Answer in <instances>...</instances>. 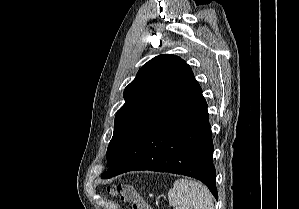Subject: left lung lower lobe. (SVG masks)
Returning a JSON list of instances; mask_svg holds the SVG:
<instances>
[{
	"mask_svg": "<svg viewBox=\"0 0 299 209\" xmlns=\"http://www.w3.org/2000/svg\"><path fill=\"white\" fill-rule=\"evenodd\" d=\"M213 150L207 103L194 79L148 119L101 177L133 170L182 174L202 181L217 199Z\"/></svg>",
	"mask_w": 299,
	"mask_h": 209,
	"instance_id": "obj_1",
	"label": "left lung lower lobe"
}]
</instances>
